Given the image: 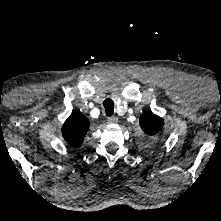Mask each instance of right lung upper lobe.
Masks as SVG:
<instances>
[{
	"instance_id": "obj_1",
	"label": "right lung upper lobe",
	"mask_w": 221,
	"mask_h": 221,
	"mask_svg": "<svg viewBox=\"0 0 221 221\" xmlns=\"http://www.w3.org/2000/svg\"><path fill=\"white\" fill-rule=\"evenodd\" d=\"M89 125V120L81 112H72L62 127L64 139L73 147L80 146L84 141Z\"/></svg>"
}]
</instances>
